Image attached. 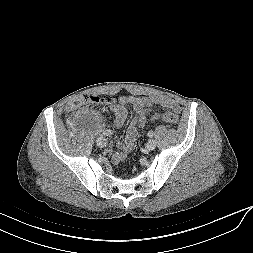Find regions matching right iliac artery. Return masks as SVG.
Here are the masks:
<instances>
[{
  "mask_svg": "<svg viewBox=\"0 0 253 253\" xmlns=\"http://www.w3.org/2000/svg\"><path fill=\"white\" fill-rule=\"evenodd\" d=\"M102 133L106 136H110L113 134V131H111L110 129H106V130H103Z\"/></svg>",
  "mask_w": 253,
  "mask_h": 253,
  "instance_id": "1",
  "label": "right iliac artery"
}]
</instances>
